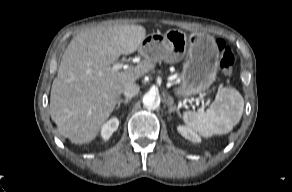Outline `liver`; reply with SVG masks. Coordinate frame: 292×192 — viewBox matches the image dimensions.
Segmentation results:
<instances>
[{
  "label": "liver",
  "instance_id": "6515ba94",
  "mask_svg": "<svg viewBox=\"0 0 292 192\" xmlns=\"http://www.w3.org/2000/svg\"><path fill=\"white\" fill-rule=\"evenodd\" d=\"M146 30L140 25L98 26L77 34L67 46L54 79L49 113L59 133L75 144L93 141L113 112L127 83H135L154 64L144 59L120 72V55L139 49Z\"/></svg>",
  "mask_w": 292,
  "mask_h": 192
}]
</instances>
